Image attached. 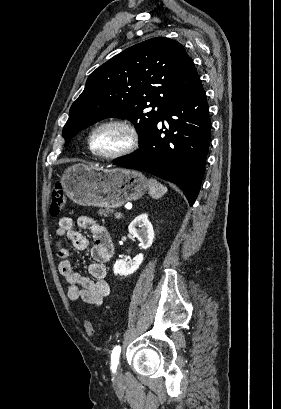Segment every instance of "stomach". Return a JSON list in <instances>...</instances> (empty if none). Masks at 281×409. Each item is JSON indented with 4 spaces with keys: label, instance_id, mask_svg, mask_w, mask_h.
Listing matches in <instances>:
<instances>
[{
    "label": "stomach",
    "instance_id": "0dacf381",
    "mask_svg": "<svg viewBox=\"0 0 281 409\" xmlns=\"http://www.w3.org/2000/svg\"><path fill=\"white\" fill-rule=\"evenodd\" d=\"M60 184L77 205L117 209L128 200L140 198L147 190L148 180L138 170L76 162L64 170Z\"/></svg>",
    "mask_w": 281,
    "mask_h": 409
}]
</instances>
